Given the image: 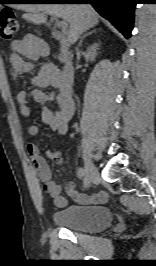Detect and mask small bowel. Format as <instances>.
Returning <instances> with one entry per match:
<instances>
[{
  "instance_id": "obj_1",
  "label": "small bowel",
  "mask_w": 156,
  "mask_h": 266,
  "mask_svg": "<svg viewBox=\"0 0 156 266\" xmlns=\"http://www.w3.org/2000/svg\"><path fill=\"white\" fill-rule=\"evenodd\" d=\"M11 54L9 56V72L14 81L20 75L29 72L34 60H37L45 53V47L39 39L33 35H26L20 40L11 43ZM33 84L36 86L31 91H21L17 95V102L21 114L29 118L31 114L30 102L41 107V120L59 135L66 134L68 122L74 113V102L71 90L65 89L60 81V71L53 65H43L37 75L33 78ZM53 88L55 92H45L44 88ZM53 100L57 103V109L51 110L44 106L46 101ZM29 137H35L39 133V127L30 124L27 128ZM27 153L34 165L37 176L42 182L44 190L53 198L56 207L67 205V197L61 194L60 185L52 179L51 169L45 158L41 155L39 148L32 142L26 146ZM47 157L56 162H61L63 152L60 149L48 150ZM67 194L80 204H102L107 201L105 192H98L91 196L80 193L76 190L74 183L70 182L66 187Z\"/></svg>"
}]
</instances>
